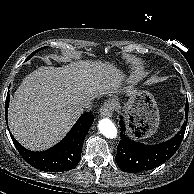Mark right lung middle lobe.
I'll return each mask as SVG.
<instances>
[{
    "mask_svg": "<svg viewBox=\"0 0 194 194\" xmlns=\"http://www.w3.org/2000/svg\"><path fill=\"white\" fill-rule=\"evenodd\" d=\"M42 49H43V47L42 48H39L36 51H34L33 53H31L26 60L30 59L35 53H37L38 51H40Z\"/></svg>",
    "mask_w": 194,
    "mask_h": 194,
    "instance_id": "1",
    "label": "right lung middle lobe"
}]
</instances>
